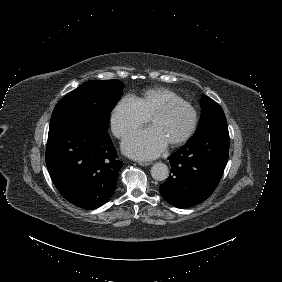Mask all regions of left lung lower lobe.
I'll list each match as a JSON object with an SVG mask.
<instances>
[{
  "label": "left lung lower lobe",
  "instance_id": "left-lung-lower-lobe-1",
  "mask_svg": "<svg viewBox=\"0 0 282 282\" xmlns=\"http://www.w3.org/2000/svg\"><path fill=\"white\" fill-rule=\"evenodd\" d=\"M229 152L227 123L212 125L191 137L170 156L171 175L160 186L162 197L178 208L206 200L216 189Z\"/></svg>",
  "mask_w": 282,
  "mask_h": 282
}]
</instances>
